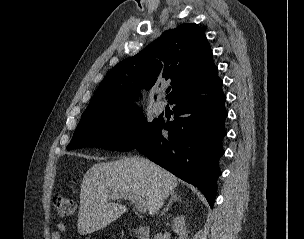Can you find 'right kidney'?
<instances>
[{"label":"right kidney","instance_id":"right-kidney-1","mask_svg":"<svg viewBox=\"0 0 304 239\" xmlns=\"http://www.w3.org/2000/svg\"><path fill=\"white\" fill-rule=\"evenodd\" d=\"M171 227L179 235V239H187L188 232L186 230V224L183 216H177L172 221Z\"/></svg>","mask_w":304,"mask_h":239}]
</instances>
